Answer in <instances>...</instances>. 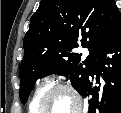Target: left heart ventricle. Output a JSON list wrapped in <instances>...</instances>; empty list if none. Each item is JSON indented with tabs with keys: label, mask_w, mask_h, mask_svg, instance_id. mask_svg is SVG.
I'll return each instance as SVG.
<instances>
[{
	"label": "left heart ventricle",
	"mask_w": 121,
	"mask_h": 113,
	"mask_svg": "<svg viewBox=\"0 0 121 113\" xmlns=\"http://www.w3.org/2000/svg\"><path fill=\"white\" fill-rule=\"evenodd\" d=\"M75 108V100L68 92L61 91L56 93L47 108L53 112H69Z\"/></svg>",
	"instance_id": "b2bd125f"
}]
</instances>
